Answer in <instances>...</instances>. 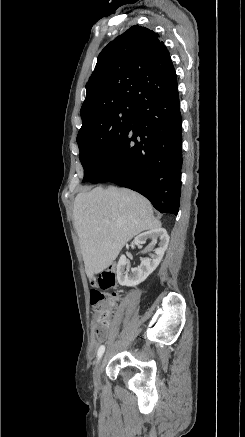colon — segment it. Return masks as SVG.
<instances>
[{"mask_svg":"<svg viewBox=\"0 0 245 437\" xmlns=\"http://www.w3.org/2000/svg\"><path fill=\"white\" fill-rule=\"evenodd\" d=\"M116 283L114 266L102 271L92 280L93 288L90 291V302L94 309L93 336L95 338H102L107 334V320L112 302V297L108 294V291L114 289Z\"/></svg>","mask_w":245,"mask_h":437,"instance_id":"1","label":"colon"}]
</instances>
